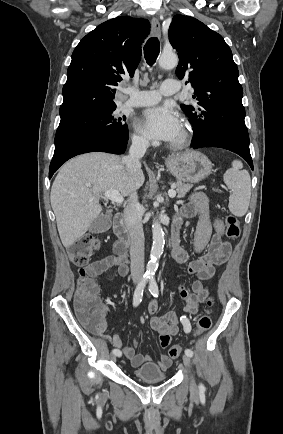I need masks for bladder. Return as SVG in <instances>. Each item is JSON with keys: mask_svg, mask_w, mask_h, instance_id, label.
I'll return each instance as SVG.
<instances>
[{"mask_svg": "<svg viewBox=\"0 0 283 434\" xmlns=\"http://www.w3.org/2000/svg\"><path fill=\"white\" fill-rule=\"evenodd\" d=\"M133 376L142 382H161L168 378V375L153 363L145 364L133 370Z\"/></svg>", "mask_w": 283, "mask_h": 434, "instance_id": "obj_1", "label": "bladder"}]
</instances>
